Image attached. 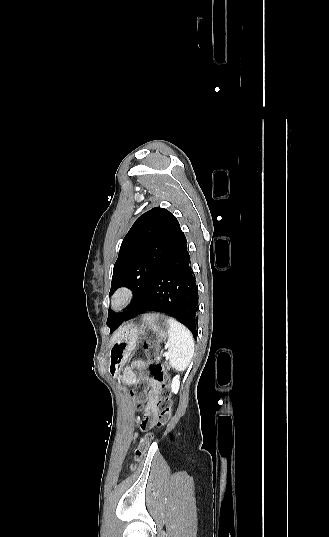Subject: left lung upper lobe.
<instances>
[{
	"instance_id": "left-lung-upper-lobe-1",
	"label": "left lung upper lobe",
	"mask_w": 329,
	"mask_h": 537,
	"mask_svg": "<svg viewBox=\"0 0 329 537\" xmlns=\"http://www.w3.org/2000/svg\"><path fill=\"white\" fill-rule=\"evenodd\" d=\"M186 242L176 217L164 208H153L134 222L121 244L110 289L111 295L119 287L130 288L134 301L122 313L108 311L111 332L138 304L163 264Z\"/></svg>"
}]
</instances>
